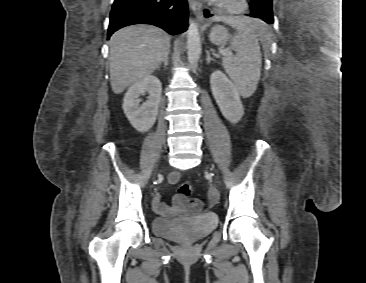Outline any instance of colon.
<instances>
[{
    "label": "colon",
    "instance_id": "colon-1",
    "mask_svg": "<svg viewBox=\"0 0 366 283\" xmlns=\"http://www.w3.org/2000/svg\"><path fill=\"white\" fill-rule=\"evenodd\" d=\"M180 195L184 197L191 196L195 191V186L192 182L183 180L178 187ZM200 208V202L196 199H192L189 204V210L192 214L196 213Z\"/></svg>",
    "mask_w": 366,
    "mask_h": 283
}]
</instances>
